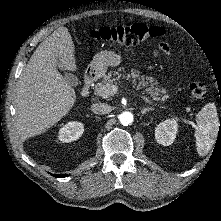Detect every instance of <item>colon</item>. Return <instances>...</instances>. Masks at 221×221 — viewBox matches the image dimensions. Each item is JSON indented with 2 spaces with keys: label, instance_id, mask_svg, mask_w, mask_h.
<instances>
[{
  "label": "colon",
  "instance_id": "obj_1",
  "mask_svg": "<svg viewBox=\"0 0 221 221\" xmlns=\"http://www.w3.org/2000/svg\"><path fill=\"white\" fill-rule=\"evenodd\" d=\"M164 30L158 26H147L143 23L123 25L117 27H102L91 34L97 41L115 43L120 46H135L150 39L163 36ZM189 91L196 99H203L207 95V88L202 81L190 83Z\"/></svg>",
  "mask_w": 221,
  "mask_h": 221
}]
</instances>
